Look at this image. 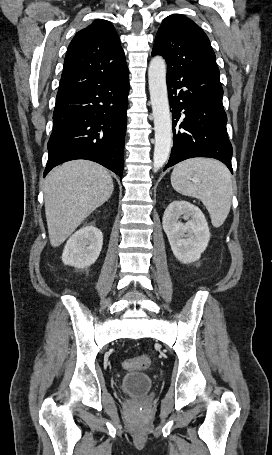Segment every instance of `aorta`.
I'll use <instances>...</instances> for the list:
<instances>
[{
  "instance_id": "obj_1",
  "label": "aorta",
  "mask_w": 272,
  "mask_h": 455,
  "mask_svg": "<svg viewBox=\"0 0 272 455\" xmlns=\"http://www.w3.org/2000/svg\"><path fill=\"white\" fill-rule=\"evenodd\" d=\"M148 82L155 130L153 170L157 172L168 160L172 143V122L166 84V63L161 56H155L150 61Z\"/></svg>"
}]
</instances>
